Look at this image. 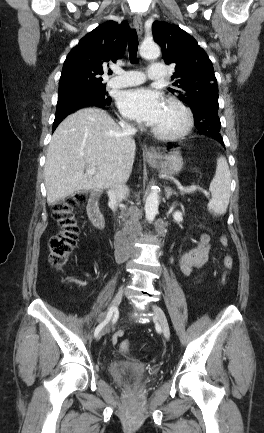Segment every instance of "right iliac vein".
Returning <instances> with one entry per match:
<instances>
[{
    "label": "right iliac vein",
    "mask_w": 264,
    "mask_h": 433,
    "mask_svg": "<svg viewBox=\"0 0 264 433\" xmlns=\"http://www.w3.org/2000/svg\"><path fill=\"white\" fill-rule=\"evenodd\" d=\"M122 295H123V288L121 287L117 291V293H116V295H115V297L113 299L112 305H111V308H112L114 314H116L118 312V306H119V304L121 302ZM106 331H107V328H104L100 332V334L98 335V339H100L106 333Z\"/></svg>",
    "instance_id": "1"
}]
</instances>
